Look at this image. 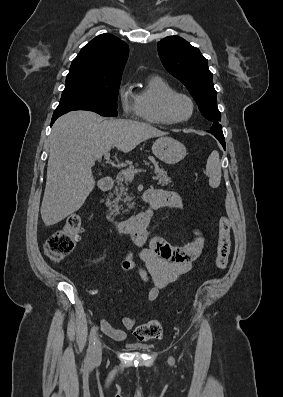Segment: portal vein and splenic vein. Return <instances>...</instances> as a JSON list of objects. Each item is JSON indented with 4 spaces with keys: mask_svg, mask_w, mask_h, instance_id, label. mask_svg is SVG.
<instances>
[{
    "mask_svg": "<svg viewBox=\"0 0 283 397\" xmlns=\"http://www.w3.org/2000/svg\"><path fill=\"white\" fill-rule=\"evenodd\" d=\"M101 157H98L97 160L100 161ZM104 159L106 160V163L110 161V153L106 152L104 154ZM146 172L144 169H126V170H121L120 174H123L127 179L132 180L137 173H142Z\"/></svg>",
    "mask_w": 283,
    "mask_h": 397,
    "instance_id": "18ae733b",
    "label": "portal vein and splenic vein"
}]
</instances>
